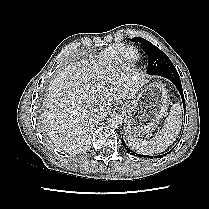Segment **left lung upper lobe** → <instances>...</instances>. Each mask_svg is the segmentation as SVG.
Instances as JSON below:
<instances>
[{
    "mask_svg": "<svg viewBox=\"0 0 209 209\" xmlns=\"http://www.w3.org/2000/svg\"><path fill=\"white\" fill-rule=\"evenodd\" d=\"M134 42L142 43L144 50L148 55V69L149 74H158L165 70L175 69L173 63L168 56L158 47L145 40L144 38L134 37Z\"/></svg>",
    "mask_w": 209,
    "mask_h": 209,
    "instance_id": "obj_1",
    "label": "left lung upper lobe"
}]
</instances>
